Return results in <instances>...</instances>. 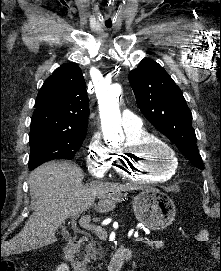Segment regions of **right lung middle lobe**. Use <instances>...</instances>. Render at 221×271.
Returning a JSON list of instances; mask_svg holds the SVG:
<instances>
[{
  "instance_id": "right-lung-middle-lobe-1",
  "label": "right lung middle lobe",
  "mask_w": 221,
  "mask_h": 271,
  "mask_svg": "<svg viewBox=\"0 0 221 271\" xmlns=\"http://www.w3.org/2000/svg\"><path fill=\"white\" fill-rule=\"evenodd\" d=\"M86 132L72 133L53 130L30 131V170L54 159H72L81 147Z\"/></svg>"
}]
</instances>
